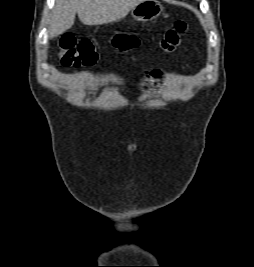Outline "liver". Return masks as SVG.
<instances>
[{"label":"liver","mask_w":254,"mask_h":267,"mask_svg":"<svg viewBox=\"0 0 254 267\" xmlns=\"http://www.w3.org/2000/svg\"><path fill=\"white\" fill-rule=\"evenodd\" d=\"M144 0H57L50 20L49 37L70 29L78 14L87 26L103 25L124 18Z\"/></svg>","instance_id":"1"}]
</instances>
